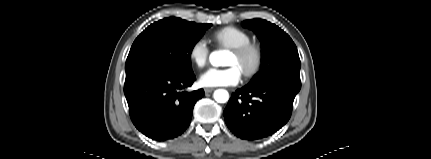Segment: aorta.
<instances>
[{
  "label": "aorta",
  "mask_w": 431,
  "mask_h": 159,
  "mask_svg": "<svg viewBox=\"0 0 431 159\" xmlns=\"http://www.w3.org/2000/svg\"><path fill=\"white\" fill-rule=\"evenodd\" d=\"M224 51H214L210 54L209 60L213 66H223L224 63ZM214 99L218 103H225L229 99V93L224 89H218L214 92Z\"/></svg>",
  "instance_id": "1"
}]
</instances>
